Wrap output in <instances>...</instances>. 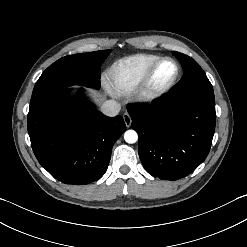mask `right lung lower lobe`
Segmentation results:
<instances>
[{
	"label": "right lung lower lobe",
	"mask_w": 247,
	"mask_h": 247,
	"mask_svg": "<svg viewBox=\"0 0 247 247\" xmlns=\"http://www.w3.org/2000/svg\"><path fill=\"white\" fill-rule=\"evenodd\" d=\"M126 130L121 116L107 117L63 89L29 108L28 133L43 168L66 184L85 185L106 172L114 143Z\"/></svg>",
	"instance_id": "right-lung-lower-lobe-1"
}]
</instances>
